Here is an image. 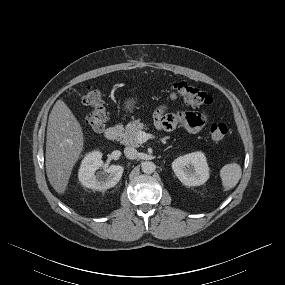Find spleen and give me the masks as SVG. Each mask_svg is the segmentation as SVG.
<instances>
[{
	"label": "spleen",
	"mask_w": 285,
	"mask_h": 285,
	"mask_svg": "<svg viewBox=\"0 0 285 285\" xmlns=\"http://www.w3.org/2000/svg\"><path fill=\"white\" fill-rule=\"evenodd\" d=\"M242 171L239 164L232 162L220 170L222 185L226 191L234 188L241 179Z\"/></svg>",
	"instance_id": "3e777b00"
}]
</instances>
